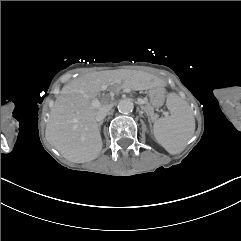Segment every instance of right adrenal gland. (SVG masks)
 Returning a JSON list of instances; mask_svg holds the SVG:
<instances>
[{"label":"right adrenal gland","instance_id":"2a0ac1e0","mask_svg":"<svg viewBox=\"0 0 241 241\" xmlns=\"http://www.w3.org/2000/svg\"><path fill=\"white\" fill-rule=\"evenodd\" d=\"M102 122L98 123L99 130L101 129Z\"/></svg>","mask_w":241,"mask_h":241}]
</instances>
